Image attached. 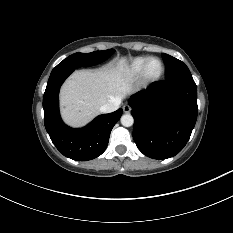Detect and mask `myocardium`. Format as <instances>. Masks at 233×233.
<instances>
[{
	"mask_svg": "<svg viewBox=\"0 0 233 233\" xmlns=\"http://www.w3.org/2000/svg\"><path fill=\"white\" fill-rule=\"evenodd\" d=\"M153 60H157L161 65V70L156 76H150L148 74V65ZM164 72H165V65L163 61L158 57H149L143 66V69L140 74V78L143 83L152 84V83L159 81L163 77Z\"/></svg>",
	"mask_w": 233,
	"mask_h": 233,
	"instance_id": "1",
	"label": "myocardium"
}]
</instances>
